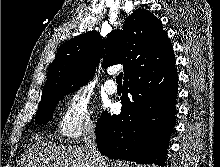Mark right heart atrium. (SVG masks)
I'll return each instance as SVG.
<instances>
[{"label":"right heart atrium","instance_id":"obj_1","mask_svg":"<svg viewBox=\"0 0 220 167\" xmlns=\"http://www.w3.org/2000/svg\"><path fill=\"white\" fill-rule=\"evenodd\" d=\"M57 129L66 142L74 143L95 130L91 101L82 90L71 92L57 119Z\"/></svg>","mask_w":220,"mask_h":167}]
</instances>
